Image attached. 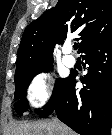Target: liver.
Segmentation results:
<instances>
[{"label":"liver","instance_id":"obj_1","mask_svg":"<svg viewBox=\"0 0 112 135\" xmlns=\"http://www.w3.org/2000/svg\"><path fill=\"white\" fill-rule=\"evenodd\" d=\"M11 133V135H75L70 128L57 120L14 125L11 128Z\"/></svg>","mask_w":112,"mask_h":135}]
</instances>
